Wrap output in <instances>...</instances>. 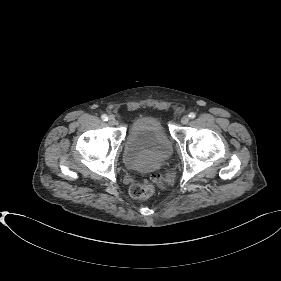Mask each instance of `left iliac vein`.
<instances>
[{"instance_id": "obj_1", "label": "left iliac vein", "mask_w": 281, "mask_h": 281, "mask_svg": "<svg viewBox=\"0 0 281 281\" xmlns=\"http://www.w3.org/2000/svg\"><path fill=\"white\" fill-rule=\"evenodd\" d=\"M188 122H189V117L187 115H185L181 118V123L183 125L187 124Z\"/></svg>"}]
</instances>
